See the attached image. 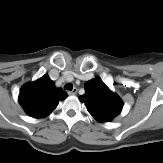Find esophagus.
<instances>
[{
  "mask_svg": "<svg viewBox=\"0 0 163 163\" xmlns=\"http://www.w3.org/2000/svg\"><path fill=\"white\" fill-rule=\"evenodd\" d=\"M76 93H77V88H74L71 91H68L69 95H75Z\"/></svg>",
  "mask_w": 163,
  "mask_h": 163,
  "instance_id": "1",
  "label": "esophagus"
}]
</instances>
